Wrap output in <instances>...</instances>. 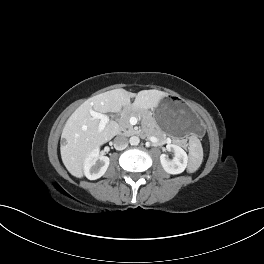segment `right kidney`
<instances>
[{
  "label": "right kidney",
  "mask_w": 264,
  "mask_h": 264,
  "mask_svg": "<svg viewBox=\"0 0 264 264\" xmlns=\"http://www.w3.org/2000/svg\"><path fill=\"white\" fill-rule=\"evenodd\" d=\"M109 163L110 160L107 156L99 155L98 149H94L85 158L84 174L89 180L99 179L105 174Z\"/></svg>",
  "instance_id": "right-kidney-1"
}]
</instances>
